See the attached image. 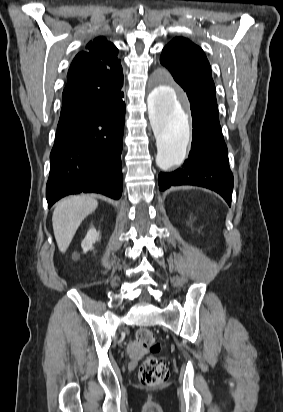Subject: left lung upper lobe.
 I'll use <instances>...</instances> for the list:
<instances>
[{
    "label": "left lung upper lobe",
    "instance_id": "obj_1",
    "mask_svg": "<svg viewBox=\"0 0 283 412\" xmlns=\"http://www.w3.org/2000/svg\"><path fill=\"white\" fill-rule=\"evenodd\" d=\"M177 83L216 101L210 64L202 49L186 38H175L167 44L160 57Z\"/></svg>",
    "mask_w": 283,
    "mask_h": 412
}]
</instances>
